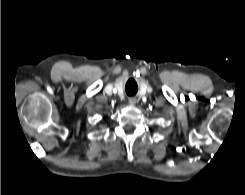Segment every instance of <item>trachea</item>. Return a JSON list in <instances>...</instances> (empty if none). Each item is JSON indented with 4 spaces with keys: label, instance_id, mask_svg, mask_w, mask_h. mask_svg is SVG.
Instances as JSON below:
<instances>
[{
    "label": "trachea",
    "instance_id": "obj_1",
    "mask_svg": "<svg viewBox=\"0 0 245 195\" xmlns=\"http://www.w3.org/2000/svg\"><path fill=\"white\" fill-rule=\"evenodd\" d=\"M125 91H126L127 95L134 96L138 91V86H137L136 82L134 80L130 79L126 83Z\"/></svg>",
    "mask_w": 245,
    "mask_h": 195
}]
</instances>
